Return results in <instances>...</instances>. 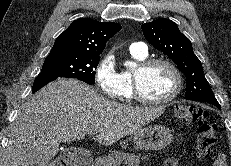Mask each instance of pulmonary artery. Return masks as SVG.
Instances as JSON below:
<instances>
[{
    "label": "pulmonary artery",
    "mask_w": 231,
    "mask_h": 166,
    "mask_svg": "<svg viewBox=\"0 0 231 166\" xmlns=\"http://www.w3.org/2000/svg\"><path fill=\"white\" fill-rule=\"evenodd\" d=\"M129 50L134 53H138L140 55H147L148 48L143 42H134L130 45Z\"/></svg>",
    "instance_id": "obj_1"
}]
</instances>
